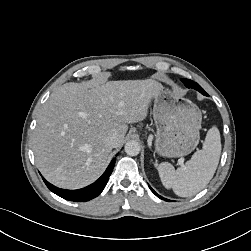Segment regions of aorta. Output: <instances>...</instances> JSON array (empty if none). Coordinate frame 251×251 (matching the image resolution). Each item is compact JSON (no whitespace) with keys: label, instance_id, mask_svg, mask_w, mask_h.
Listing matches in <instances>:
<instances>
[{"label":"aorta","instance_id":"obj_1","mask_svg":"<svg viewBox=\"0 0 251 251\" xmlns=\"http://www.w3.org/2000/svg\"><path fill=\"white\" fill-rule=\"evenodd\" d=\"M125 152L129 156H136L140 152V145L137 141L130 140L125 144Z\"/></svg>","mask_w":251,"mask_h":251}]
</instances>
